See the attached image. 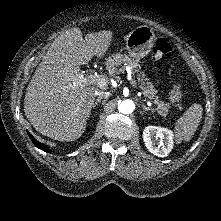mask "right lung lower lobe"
Masks as SVG:
<instances>
[{
	"label": "right lung lower lobe",
	"instance_id": "right-lung-lower-lobe-1",
	"mask_svg": "<svg viewBox=\"0 0 221 221\" xmlns=\"http://www.w3.org/2000/svg\"><path fill=\"white\" fill-rule=\"evenodd\" d=\"M28 132V131H27ZM28 135L30 137V139L32 140L33 144L39 148V149H42L43 151L45 152H50L49 148L47 145H44L42 143H40L39 141H37L29 132H28Z\"/></svg>",
	"mask_w": 221,
	"mask_h": 221
}]
</instances>
